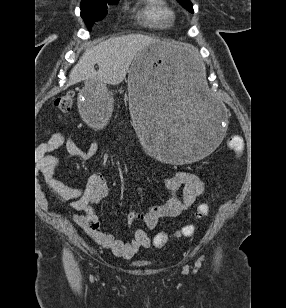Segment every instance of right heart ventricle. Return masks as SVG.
<instances>
[{"instance_id": "obj_1", "label": "right heart ventricle", "mask_w": 286, "mask_h": 308, "mask_svg": "<svg viewBox=\"0 0 286 308\" xmlns=\"http://www.w3.org/2000/svg\"><path fill=\"white\" fill-rule=\"evenodd\" d=\"M139 24L154 29H167L174 25L176 14L167 0H139L132 9Z\"/></svg>"}]
</instances>
